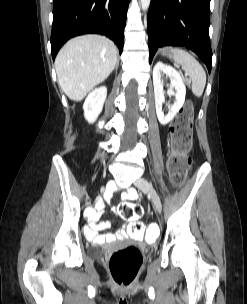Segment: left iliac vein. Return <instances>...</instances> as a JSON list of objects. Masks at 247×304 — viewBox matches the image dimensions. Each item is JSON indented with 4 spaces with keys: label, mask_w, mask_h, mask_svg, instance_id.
<instances>
[{
    "label": "left iliac vein",
    "mask_w": 247,
    "mask_h": 304,
    "mask_svg": "<svg viewBox=\"0 0 247 304\" xmlns=\"http://www.w3.org/2000/svg\"><path fill=\"white\" fill-rule=\"evenodd\" d=\"M134 184L141 191H143L149 195V197L151 198V200L154 204V207L160 213L161 209H162L161 200H160L158 193L154 189L153 185L144 178L136 179Z\"/></svg>",
    "instance_id": "4c4485c4"
}]
</instances>
